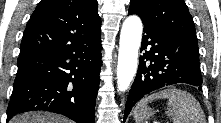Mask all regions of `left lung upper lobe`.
Listing matches in <instances>:
<instances>
[{
	"label": "left lung upper lobe",
	"instance_id": "5c2ea615",
	"mask_svg": "<svg viewBox=\"0 0 221 123\" xmlns=\"http://www.w3.org/2000/svg\"><path fill=\"white\" fill-rule=\"evenodd\" d=\"M129 11L143 22L197 43L194 22L183 0H130Z\"/></svg>",
	"mask_w": 221,
	"mask_h": 123
}]
</instances>
